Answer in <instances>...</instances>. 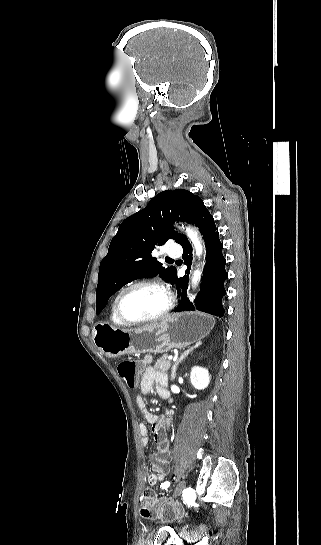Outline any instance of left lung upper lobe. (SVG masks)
Listing matches in <instances>:
<instances>
[{
	"mask_svg": "<svg viewBox=\"0 0 321 545\" xmlns=\"http://www.w3.org/2000/svg\"><path fill=\"white\" fill-rule=\"evenodd\" d=\"M202 204V199L188 190H167L121 223L100 264L97 314L110 296L135 279L160 275L166 281H172L176 268L163 267L151 253L168 239L180 243L184 235L172 230L170 225L174 221L190 223L196 208Z\"/></svg>",
	"mask_w": 321,
	"mask_h": 545,
	"instance_id": "1",
	"label": "left lung upper lobe"
}]
</instances>
